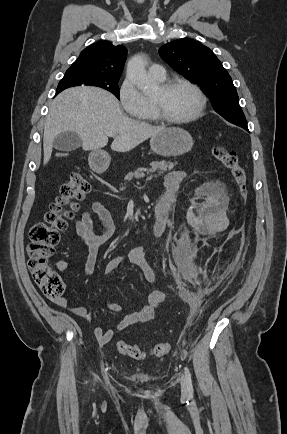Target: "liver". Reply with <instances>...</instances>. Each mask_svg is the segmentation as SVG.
<instances>
[{"label":"liver","mask_w":287,"mask_h":434,"mask_svg":"<svg viewBox=\"0 0 287 434\" xmlns=\"http://www.w3.org/2000/svg\"><path fill=\"white\" fill-rule=\"evenodd\" d=\"M130 119L120 109L117 99L97 87H74L59 94L52 102L44 124V165L51 158L53 141L61 133L75 132L85 150H100L108 143L106 132L114 133L111 149L127 152L161 131Z\"/></svg>","instance_id":"liver-1"}]
</instances>
